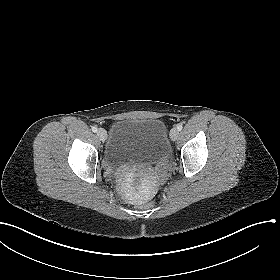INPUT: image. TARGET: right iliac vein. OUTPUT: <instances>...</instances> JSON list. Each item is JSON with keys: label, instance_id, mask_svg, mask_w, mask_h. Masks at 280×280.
Returning <instances> with one entry per match:
<instances>
[{"label": "right iliac vein", "instance_id": "right-iliac-vein-1", "mask_svg": "<svg viewBox=\"0 0 280 280\" xmlns=\"http://www.w3.org/2000/svg\"><path fill=\"white\" fill-rule=\"evenodd\" d=\"M97 135L100 138V140L105 141L107 138V133L103 128L98 129Z\"/></svg>", "mask_w": 280, "mask_h": 280}]
</instances>
